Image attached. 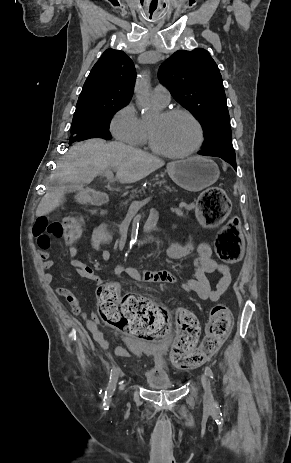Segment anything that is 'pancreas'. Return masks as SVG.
Wrapping results in <instances>:
<instances>
[{
	"instance_id": "obj_1",
	"label": "pancreas",
	"mask_w": 291,
	"mask_h": 463,
	"mask_svg": "<svg viewBox=\"0 0 291 463\" xmlns=\"http://www.w3.org/2000/svg\"><path fill=\"white\" fill-rule=\"evenodd\" d=\"M147 191L149 193H158L160 196H164L167 193L173 194L177 192L176 188L173 187L171 184L167 183V181L155 180L153 184L149 183L146 188L132 191L129 200L133 198L142 197L143 195H146Z\"/></svg>"
}]
</instances>
